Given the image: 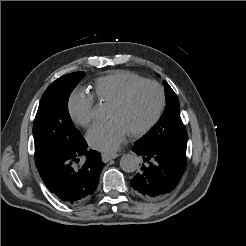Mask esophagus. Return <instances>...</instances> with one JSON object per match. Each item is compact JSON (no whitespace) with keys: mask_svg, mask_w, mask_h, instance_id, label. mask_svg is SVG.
Listing matches in <instances>:
<instances>
[{"mask_svg":"<svg viewBox=\"0 0 246 246\" xmlns=\"http://www.w3.org/2000/svg\"><path fill=\"white\" fill-rule=\"evenodd\" d=\"M101 156H102V161L106 163L112 159H115L118 156V154H116V153H102Z\"/></svg>","mask_w":246,"mask_h":246,"instance_id":"esophagus-1","label":"esophagus"}]
</instances>
